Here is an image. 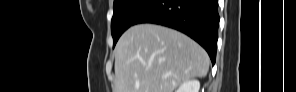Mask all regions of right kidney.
<instances>
[{
  "instance_id": "right-kidney-1",
  "label": "right kidney",
  "mask_w": 296,
  "mask_h": 92,
  "mask_svg": "<svg viewBox=\"0 0 296 92\" xmlns=\"http://www.w3.org/2000/svg\"><path fill=\"white\" fill-rule=\"evenodd\" d=\"M200 82L198 80H187L183 82L176 92H199Z\"/></svg>"
}]
</instances>
